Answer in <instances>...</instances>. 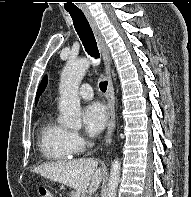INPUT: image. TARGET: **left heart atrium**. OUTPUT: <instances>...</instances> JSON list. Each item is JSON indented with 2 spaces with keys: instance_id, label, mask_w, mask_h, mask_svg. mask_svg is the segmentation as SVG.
<instances>
[{
  "instance_id": "obj_1",
  "label": "left heart atrium",
  "mask_w": 191,
  "mask_h": 197,
  "mask_svg": "<svg viewBox=\"0 0 191 197\" xmlns=\"http://www.w3.org/2000/svg\"><path fill=\"white\" fill-rule=\"evenodd\" d=\"M82 120L86 131L90 135H96L101 132L106 125V108L101 103H91L84 108L82 112Z\"/></svg>"
}]
</instances>
